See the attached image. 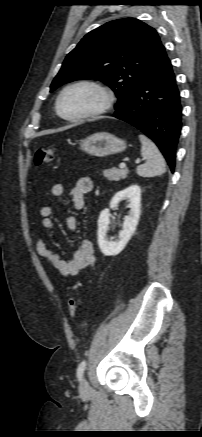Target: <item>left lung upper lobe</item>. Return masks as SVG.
Returning <instances> with one entry per match:
<instances>
[{"mask_svg":"<svg viewBox=\"0 0 202 437\" xmlns=\"http://www.w3.org/2000/svg\"><path fill=\"white\" fill-rule=\"evenodd\" d=\"M157 32L135 18L110 21L89 32L65 58L50 92L79 79H99L123 105L165 61Z\"/></svg>","mask_w":202,"mask_h":437,"instance_id":"5c2ea615","label":"left lung upper lobe"}]
</instances>
